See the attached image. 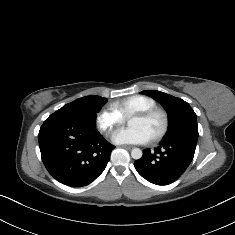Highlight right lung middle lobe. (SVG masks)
I'll list each match as a JSON object with an SVG mask.
<instances>
[{
	"mask_svg": "<svg viewBox=\"0 0 235 235\" xmlns=\"http://www.w3.org/2000/svg\"><path fill=\"white\" fill-rule=\"evenodd\" d=\"M106 102L107 99L100 96H85L64 105L52 116H64L86 126L95 127L97 112Z\"/></svg>",
	"mask_w": 235,
	"mask_h": 235,
	"instance_id": "right-lung-middle-lobe-1",
	"label": "right lung middle lobe"
}]
</instances>
